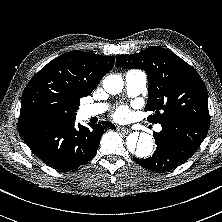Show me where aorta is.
<instances>
[{
    "label": "aorta",
    "instance_id": "aorta-1",
    "mask_svg": "<svg viewBox=\"0 0 222 222\" xmlns=\"http://www.w3.org/2000/svg\"><path fill=\"white\" fill-rule=\"evenodd\" d=\"M123 79L120 75H109L103 81V87L109 94H119L123 89ZM126 147L130 154L138 158L148 157L154 147V140L147 133H132L126 139Z\"/></svg>",
    "mask_w": 222,
    "mask_h": 222
}]
</instances>
